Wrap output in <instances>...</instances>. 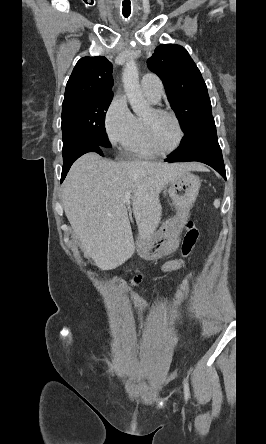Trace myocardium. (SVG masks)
Wrapping results in <instances>:
<instances>
[{"instance_id":"f54148a6","label":"myocardium","mask_w":266,"mask_h":444,"mask_svg":"<svg viewBox=\"0 0 266 444\" xmlns=\"http://www.w3.org/2000/svg\"><path fill=\"white\" fill-rule=\"evenodd\" d=\"M151 111L155 115L169 116L175 121L177 129H178V139H177V142L173 148H171L169 150H162L161 148H159L157 146V144L155 143V141L152 137L151 127H150L149 122L147 120H145L144 118H142L143 135H144V138H145V141H146L148 147L153 152L157 153L158 155H168V154L174 153L175 151H177L181 147V145L184 141V136H185L184 129H183V126H182V123H181L179 117L174 112L167 110V109H163V108L156 107V108H153Z\"/></svg>"}]
</instances>
